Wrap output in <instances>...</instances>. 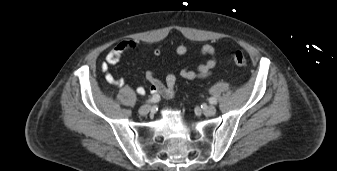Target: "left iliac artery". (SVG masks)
Returning a JSON list of instances; mask_svg holds the SVG:
<instances>
[{"label": "left iliac artery", "instance_id": "44dca946", "mask_svg": "<svg viewBox=\"0 0 337 171\" xmlns=\"http://www.w3.org/2000/svg\"><path fill=\"white\" fill-rule=\"evenodd\" d=\"M209 103L210 104H216L217 103L216 98H214V97L209 98Z\"/></svg>", "mask_w": 337, "mask_h": 171}]
</instances>
